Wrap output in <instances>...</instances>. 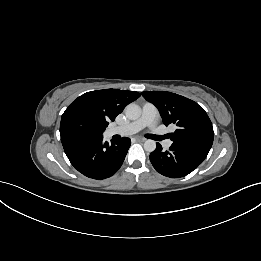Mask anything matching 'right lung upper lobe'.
<instances>
[{
    "label": "right lung upper lobe",
    "mask_w": 261,
    "mask_h": 261,
    "mask_svg": "<svg viewBox=\"0 0 261 261\" xmlns=\"http://www.w3.org/2000/svg\"><path fill=\"white\" fill-rule=\"evenodd\" d=\"M139 97V93L127 90L103 89L91 91L75 99L63 114L74 109H84L108 126L109 122L114 121L116 116L129 103Z\"/></svg>",
    "instance_id": "1"
}]
</instances>
